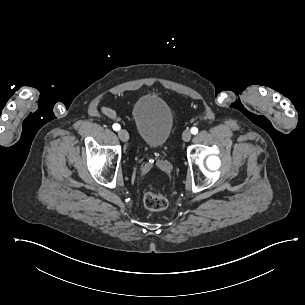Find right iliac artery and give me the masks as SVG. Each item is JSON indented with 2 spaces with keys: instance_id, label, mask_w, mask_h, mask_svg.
I'll list each match as a JSON object with an SVG mask.
<instances>
[{
  "instance_id": "1",
  "label": "right iliac artery",
  "mask_w": 305,
  "mask_h": 305,
  "mask_svg": "<svg viewBox=\"0 0 305 305\" xmlns=\"http://www.w3.org/2000/svg\"><path fill=\"white\" fill-rule=\"evenodd\" d=\"M112 128H113L115 131H118V130H120L121 127H120L119 124L115 123V124H113Z\"/></svg>"
}]
</instances>
